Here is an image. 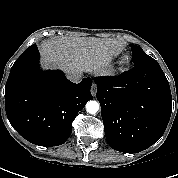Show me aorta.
<instances>
[{
	"label": "aorta",
	"mask_w": 178,
	"mask_h": 178,
	"mask_svg": "<svg viewBox=\"0 0 178 178\" xmlns=\"http://www.w3.org/2000/svg\"><path fill=\"white\" fill-rule=\"evenodd\" d=\"M86 110L90 114H96L99 110V103L97 101H89L86 104Z\"/></svg>",
	"instance_id": "1"
}]
</instances>
